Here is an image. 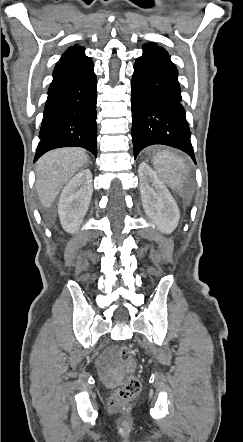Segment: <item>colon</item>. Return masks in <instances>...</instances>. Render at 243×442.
I'll return each mask as SVG.
<instances>
[{
  "instance_id": "obj_1",
  "label": "colon",
  "mask_w": 243,
  "mask_h": 442,
  "mask_svg": "<svg viewBox=\"0 0 243 442\" xmlns=\"http://www.w3.org/2000/svg\"><path fill=\"white\" fill-rule=\"evenodd\" d=\"M132 350L128 346H123L118 351V360L126 363L132 358ZM141 389V382L137 376L130 375L127 377L124 385L116 390L110 401V408L115 409L120 404L133 399Z\"/></svg>"
}]
</instances>
